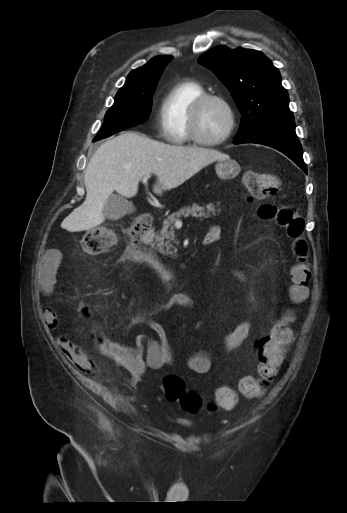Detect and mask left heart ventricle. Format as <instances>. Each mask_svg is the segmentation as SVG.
Wrapping results in <instances>:
<instances>
[{"instance_id":"1","label":"left heart ventricle","mask_w":347,"mask_h":513,"mask_svg":"<svg viewBox=\"0 0 347 513\" xmlns=\"http://www.w3.org/2000/svg\"><path fill=\"white\" fill-rule=\"evenodd\" d=\"M229 116L225 107L216 102L210 101L202 109L199 121V131L206 139H217L227 130Z\"/></svg>"}]
</instances>
